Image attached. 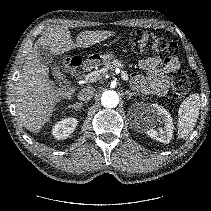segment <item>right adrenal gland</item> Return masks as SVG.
Here are the masks:
<instances>
[{
  "instance_id": "right-adrenal-gland-1",
  "label": "right adrenal gland",
  "mask_w": 211,
  "mask_h": 211,
  "mask_svg": "<svg viewBox=\"0 0 211 211\" xmlns=\"http://www.w3.org/2000/svg\"><path fill=\"white\" fill-rule=\"evenodd\" d=\"M83 103H75L73 105H69L68 108L69 109H74L76 112L80 111L82 109Z\"/></svg>"
}]
</instances>
